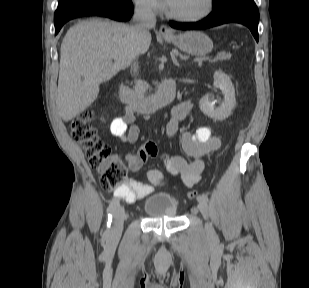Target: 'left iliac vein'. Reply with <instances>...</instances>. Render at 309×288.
Masks as SVG:
<instances>
[{"instance_id":"obj_1","label":"left iliac vein","mask_w":309,"mask_h":288,"mask_svg":"<svg viewBox=\"0 0 309 288\" xmlns=\"http://www.w3.org/2000/svg\"><path fill=\"white\" fill-rule=\"evenodd\" d=\"M198 209L201 212V214L203 215V217L207 220L208 218V206H207V202L204 200L199 201L198 203ZM206 229L208 232H212L213 228L212 226L207 222L206 223Z\"/></svg>"}]
</instances>
